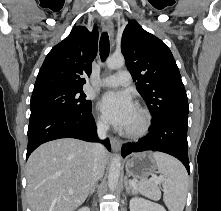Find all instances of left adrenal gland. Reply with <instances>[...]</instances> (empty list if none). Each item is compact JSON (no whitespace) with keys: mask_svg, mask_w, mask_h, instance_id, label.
Returning <instances> with one entry per match:
<instances>
[{"mask_svg":"<svg viewBox=\"0 0 221 211\" xmlns=\"http://www.w3.org/2000/svg\"><path fill=\"white\" fill-rule=\"evenodd\" d=\"M124 187H125V190H126V192H127L128 194H132L131 188H130V186L128 185V179H127V177H125Z\"/></svg>","mask_w":221,"mask_h":211,"instance_id":"left-adrenal-gland-1","label":"left adrenal gland"}]
</instances>
